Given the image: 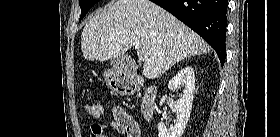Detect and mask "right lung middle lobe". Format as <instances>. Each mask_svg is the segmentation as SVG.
I'll use <instances>...</instances> for the list:
<instances>
[{"instance_id":"obj_1","label":"right lung middle lobe","mask_w":280,"mask_h":137,"mask_svg":"<svg viewBox=\"0 0 280 137\" xmlns=\"http://www.w3.org/2000/svg\"><path fill=\"white\" fill-rule=\"evenodd\" d=\"M99 0H80L79 1V5L81 8V17H80V21L81 19L88 13V11L90 10V8L97 3Z\"/></svg>"}]
</instances>
